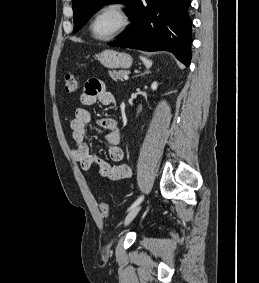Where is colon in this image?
I'll use <instances>...</instances> for the list:
<instances>
[{
    "label": "colon",
    "instance_id": "colon-1",
    "mask_svg": "<svg viewBox=\"0 0 259 283\" xmlns=\"http://www.w3.org/2000/svg\"><path fill=\"white\" fill-rule=\"evenodd\" d=\"M64 89L68 94H74L77 90V80L72 72H68L64 77ZM99 210L103 215H108L109 207L106 202L99 204Z\"/></svg>",
    "mask_w": 259,
    "mask_h": 283
}]
</instances>
